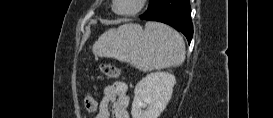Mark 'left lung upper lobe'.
Masks as SVG:
<instances>
[{"label":"left lung upper lobe","mask_w":273,"mask_h":118,"mask_svg":"<svg viewBox=\"0 0 273 118\" xmlns=\"http://www.w3.org/2000/svg\"><path fill=\"white\" fill-rule=\"evenodd\" d=\"M162 1L163 0H150L149 7H148L147 11L143 15H141L140 17L153 12L161 4Z\"/></svg>","instance_id":"left-lung-upper-lobe-1"}]
</instances>
